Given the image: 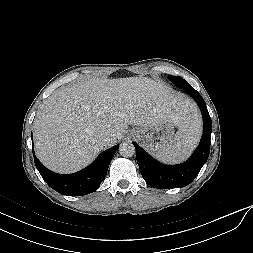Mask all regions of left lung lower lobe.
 Segmentation results:
<instances>
[{
    "mask_svg": "<svg viewBox=\"0 0 253 253\" xmlns=\"http://www.w3.org/2000/svg\"><path fill=\"white\" fill-rule=\"evenodd\" d=\"M185 90L197 102L201 109L204 123L200 144L192 156L186 162L178 165H163L153 160L139 145L133 143L141 175L150 186L155 188L187 186L198 175L209 156L212 121L207 106L204 99L192 86L187 87Z\"/></svg>",
    "mask_w": 253,
    "mask_h": 253,
    "instance_id": "0a47b994",
    "label": "left lung lower lobe"
}]
</instances>
